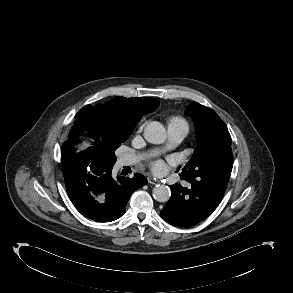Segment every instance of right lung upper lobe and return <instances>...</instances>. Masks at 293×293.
I'll use <instances>...</instances> for the list:
<instances>
[{
  "label": "right lung upper lobe",
  "instance_id": "1",
  "mask_svg": "<svg viewBox=\"0 0 293 293\" xmlns=\"http://www.w3.org/2000/svg\"><path fill=\"white\" fill-rule=\"evenodd\" d=\"M159 101L155 98H125L117 96L114 99L95 107L84 106L75 116L70 140L65 141L61 150L62 173L66 177L73 174L78 166L95 159L94 152L114 137H129L140 118L157 108ZM86 130L95 140L93 146L80 153H75L73 144L78 131Z\"/></svg>",
  "mask_w": 293,
  "mask_h": 293
}]
</instances>
